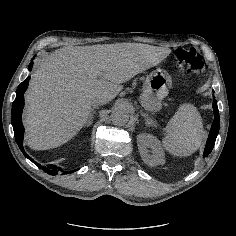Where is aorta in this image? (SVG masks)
<instances>
[{
    "label": "aorta",
    "mask_w": 236,
    "mask_h": 236,
    "mask_svg": "<svg viewBox=\"0 0 236 236\" xmlns=\"http://www.w3.org/2000/svg\"><path fill=\"white\" fill-rule=\"evenodd\" d=\"M111 119L114 125L123 126L129 121V113L125 108L118 107L112 111Z\"/></svg>",
    "instance_id": "aorta-1"
}]
</instances>
